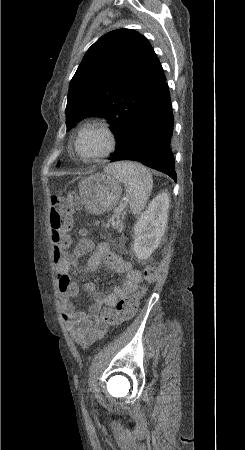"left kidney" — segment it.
Here are the masks:
<instances>
[{
  "instance_id": "1",
  "label": "left kidney",
  "mask_w": 245,
  "mask_h": 450,
  "mask_svg": "<svg viewBox=\"0 0 245 450\" xmlns=\"http://www.w3.org/2000/svg\"><path fill=\"white\" fill-rule=\"evenodd\" d=\"M169 197L156 196L134 226L132 249L139 260L148 259L158 248L168 222Z\"/></svg>"
}]
</instances>
